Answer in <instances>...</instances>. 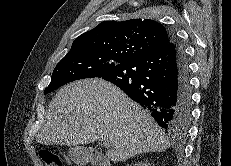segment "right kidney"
I'll return each mask as SVG.
<instances>
[{"instance_id": "obj_1", "label": "right kidney", "mask_w": 231, "mask_h": 166, "mask_svg": "<svg viewBox=\"0 0 231 166\" xmlns=\"http://www.w3.org/2000/svg\"><path fill=\"white\" fill-rule=\"evenodd\" d=\"M134 166H150V164L147 161L140 162L138 164H135Z\"/></svg>"}]
</instances>
